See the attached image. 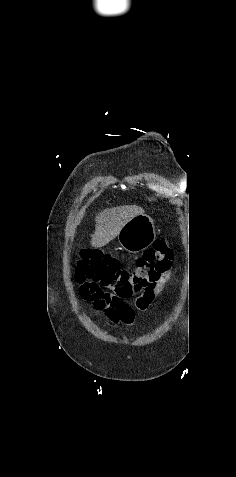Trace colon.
Masks as SVG:
<instances>
[{
  "label": "colon",
  "mask_w": 236,
  "mask_h": 477,
  "mask_svg": "<svg viewBox=\"0 0 236 477\" xmlns=\"http://www.w3.org/2000/svg\"><path fill=\"white\" fill-rule=\"evenodd\" d=\"M173 251L165 240H157L138 258L133 269L100 251H83L75 270L81 297L95 307L104 304L121 313L131 306L127 300L159 289L169 276Z\"/></svg>",
  "instance_id": "5ec220e1"
}]
</instances>
